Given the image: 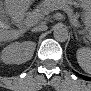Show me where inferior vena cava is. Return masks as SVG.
<instances>
[{
	"label": "inferior vena cava",
	"instance_id": "obj_1",
	"mask_svg": "<svg viewBox=\"0 0 91 91\" xmlns=\"http://www.w3.org/2000/svg\"><path fill=\"white\" fill-rule=\"evenodd\" d=\"M32 30H34L35 32L45 31V30H47V26L45 24H41V25L34 27Z\"/></svg>",
	"mask_w": 91,
	"mask_h": 91
}]
</instances>
